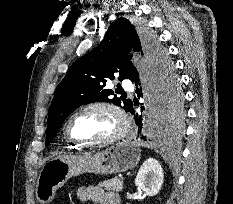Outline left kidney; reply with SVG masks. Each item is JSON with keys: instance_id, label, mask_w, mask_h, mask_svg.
<instances>
[{"instance_id": "obj_1", "label": "left kidney", "mask_w": 233, "mask_h": 204, "mask_svg": "<svg viewBox=\"0 0 233 204\" xmlns=\"http://www.w3.org/2000/svg\"><path fill=\"white\" fill-rule=\"evenodd\" d=\"M163 169L154 158L147 159L139 169L135 185L148 196L157 195L163 184Z\"/></svg>"}]
</instances>
